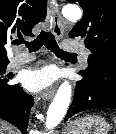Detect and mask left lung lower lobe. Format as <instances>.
Listing matches in <instances>:
<instances>
[{
    "label": "left lung lower lobe",
    "instance_id": "1",
    "mask_svg": "<svg viewBox=\"0 0 116 134\" xmlns=\"http://www.w3.org/2000/svg\"><path fill=\"white\" fill-rule=\"evenodd\" d=\"M72 104L64 122L75 114L93 109H116V65L104 64L91 73L79 72Z\"/></svg>",
    "mask_w": 116,
    "mask_h": 134
}]
</instances>
